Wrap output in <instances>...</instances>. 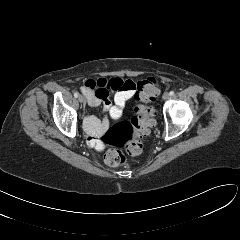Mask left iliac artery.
Returning <instances> with one entry per match:
<instances>
[{
	"label": "left iliac artery",
	"instance_id": "1",
	"mask_svg": "<svg viewBox=\"0 0 240 240\" xmlns=\"http://www.w3.org/2000/svg\"><path fill=\"white\" fill-rule=\"evenodd\" d=\"M169 94H170L171 96H172V95H174V91H170V93H169Z\"/></svg>",
	"mask_w": 240,
	"mask_h": 240
}]
</instances>
